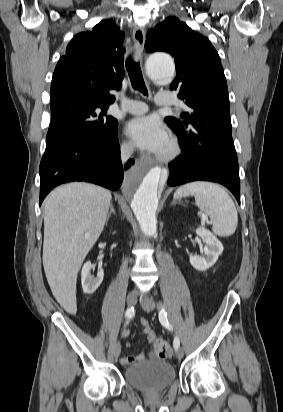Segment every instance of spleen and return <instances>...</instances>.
<instances>
[{
    "instance_id": "3e777b00",
    "label": "spleen",
    "mask_w": 283,
    "mask_h": 412,
    "mask_svg": "<svg viewBox=\"0 0 283 412\" xmlns=\"http://www.w3.org/2000/svg\"><path fill=\"white\" fill-rule=\"evenodd\" d=\"M188 196H194L199 209L210 217L216 235L228 237L235 232L237 210L233 200L220 186L196 181L179 187L174 194V198Z\"/></svg>"
}]
</instances>
